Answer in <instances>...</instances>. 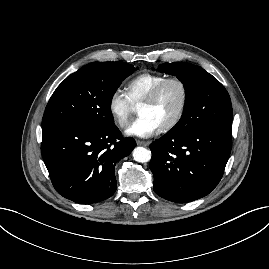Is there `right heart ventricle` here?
Listing matches in <instances>:
<instances>
[{
	"label": "right heart ventricle",
	"mask_w": 269,
	"mask_h": 269,
	"mask_svg": "<svg viewBox=\"0 0 269 269\" xmlns=\"http://www.w3.org/2000/svg\"><path fill=\"white\" fill-rule=\"evenodd\" d=\"M167 76L156 73H141L132 78L125 87L126 95L132 105L142 102L149 92Z\"/></svg>",
	"instance_id": "right-heart-ventricle-1"
}]
</instances>
